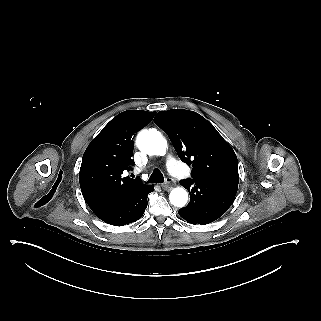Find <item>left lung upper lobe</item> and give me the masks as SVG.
<instances>
[{
  "label": "left lung upper lobe",
  "instance_id": "1",
  "mask_svg": "<svg viewBox=\"0 0 321 321\" xmlns=\"http://www.w3.org/2000/svg\"><path fill=\"white\" fill-rule=\"evenodd\" d=\"M154 122L169 136L179 158L192 165V178L238 175L235 152L214 126L194 111H160Z\"/></svg>",
  "mask_w": 321,
  "mask_h": 321
}]
</instances>
